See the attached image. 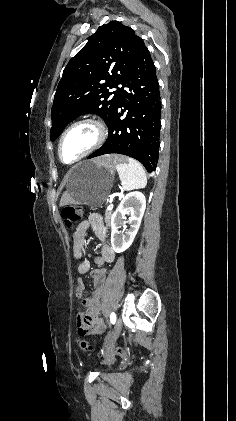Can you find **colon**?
<instances>
[{
	"mask_svg": "<svg viewBox=\"0 0 236 421\" xmlns=\"http://www.w3.org/2000/svg\"><path fill=\"white\" fill-rule=\"evenodd\" d=\"M83 215V211L81 209V207L76 206V205H67L65 206L62 211H61V216L63 218V220L66 222V224L68 226H72L74 224H76L77 222H79L82 218ZM75 241V239H74ZM82 251V248L77 249V254H80ZM80 326V324H79ZM82 327L79 329V331H82ZM77 346L80 350L84 351V352H91L92 347L89 344V342H87L86 340L77 338ZM113 356H125L126 355V351L122 348H116L113 352H112Z\"/></svg>",
	"mask_w": 236,
	"mask_h": 421,
	"instance_id": "colon-1",
	"label": "colon"
}]
</instances>
